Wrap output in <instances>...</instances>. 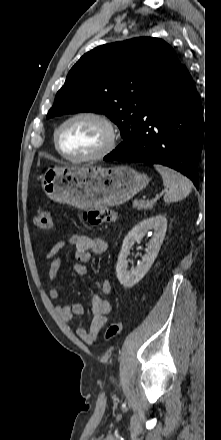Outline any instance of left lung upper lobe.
Wrapping results in <instances>:
<instances>
[{
  "label": "left lung upper lobe",
  "mask_w": 221,
  "mask_h": 440,
  "mask_svg": "<svg viewBox=\"0 0 221 440\" xmlns=\"http://www.w3.org/2000/svg\"><path fill=\"white\" fill-rule=\"evenodd\" d=\"M174 50L163 40L138 37L109 43L84 54L69 71L47 118L92 111L108 116L129 141L157 90L178 69Z\"/></svg>",
  "instance_id": "5c2ea615"
}]
</instances>
